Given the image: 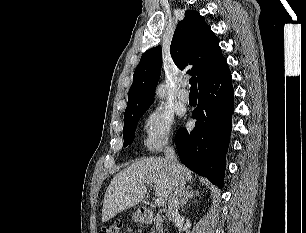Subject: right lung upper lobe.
I'll use <instances>...</instances> for the list:
<instances>
[{
  "label": "right lung upper lobe",
  "mask_w": 306,
  "mask_h": 233,
  "mask_svg": "<svg viewBox=\"0 0 306 233\" xmlns=\"http://www.w3.org/2000/svg\"><path fill=\"white\" fill-rule=\"evenodd\" d=\"M170 53L179 69L193 64L188 73L197 75L198 87L228 67L217 37L196 11H187L185 18L178 23ZM161 67V46L151 48L142 55L134 72L124 117L153 103Z\"/></svg>",
  "instance_id": "right-lung-upper-lobe-1"
}]
</instances>
